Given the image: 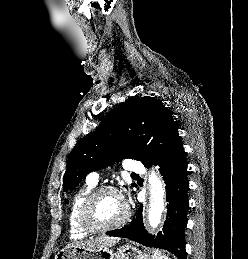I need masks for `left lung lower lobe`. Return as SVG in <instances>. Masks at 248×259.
I'll use <instances>...</instances> for the list:
<instances>
[{"mask_svg": "<svg viewBox=\"0 0 248 259\" xmlns=\"http://www.w3.org/2000/svg\"><path fill=\"white\" fill-rule=\"evenodd\" d=\"M160 166V172L166 184L167 218L163 232L157 237L145 231L142 219V207L130 225L107 233L109 236L125 237L147 247L167 250L178 259H187L184 240V229L187 226L189 201L187 192V160L181 140L161 153L152 163ZM151 166V165H150ZM147 166V167H150Z\"/></svg>", "mask_w": 248, "mask_h": 259, "instance_id": "left-lung-lower-lobe-1", "label": "left lung lower lobe"}]
</instances>
